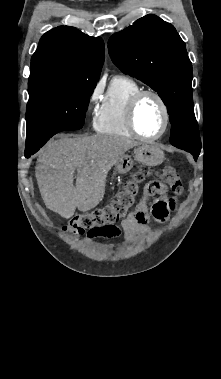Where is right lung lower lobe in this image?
<instances>
[{
  "mask_svg": "<svg viewBox=\"0 0 221 379\" xmlns=\"http://www.w3.org/2000/svg\"><path fill=\"white\" fill-rule=\"evenodd\" d=\"M42 145H27L25 148V157L29 158L32 154L39 150Z\"/></svg>",
  "mask_w": 221,
  "mask_h": 379,
  "instance_id": "right-lung-lower-lobe-1",
  "label": "right lung lower lobe"
}]
</instances>
